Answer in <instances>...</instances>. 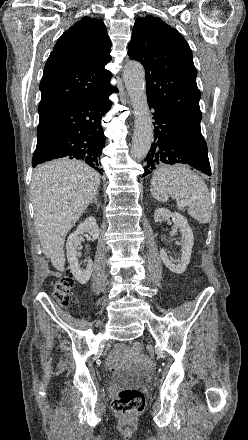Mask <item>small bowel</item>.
Segmentation results:
<instances>
[{
  "label": "small bowel",
  "instance_id": "1",
  "mask_svg": "<svg viewBox=\"0 0 248 440\" xmlns=\"http://www.w3.org/2000/svg\"><path fill=\"white\" fill-rule=\"evenodd\" d=\"M125 346L124 344H119L115 346L112 351L110 352L108 356V363L110 366H115L122 358L123 354L125 353Z\"/></svg>",
  "mask_w": 248,
  "mask_h": 440
}]
</instances>
